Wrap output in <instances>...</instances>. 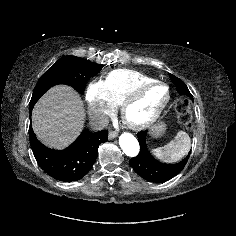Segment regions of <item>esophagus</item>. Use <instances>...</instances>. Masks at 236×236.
I'll use <instances>...</instances> for the list:
<instances>
[{"label": "esophagus", "mask_w": 236, "mask_h": 236, "mask_svg": "<svg viewBox=\"0 0 236 236\" xmlns=\"http://www.w3.org/2000/svg\"><path fill=\"white\" fill-rule=\"evenodd\" d=\"M117 132L116 131H114V130H110L109 131V139H114V138H116L117 137Z\"/></svg>", "instance_id": "34e87169"}]
</instances>
